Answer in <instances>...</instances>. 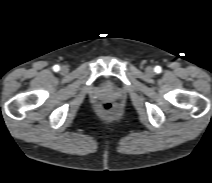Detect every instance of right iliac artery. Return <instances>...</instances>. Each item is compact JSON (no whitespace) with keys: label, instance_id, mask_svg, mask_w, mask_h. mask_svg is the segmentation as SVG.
<instances>
[{"label":"right iliac artery","instance_id":"obj_1","mask_svg":"<svg viewBox=\"0 0 212 183\" xmlns=\"http://www.w3.org/2000/svg\"><path fill=\"white\" fill-rule=\"evenodd\" d=\"M59 69H60V67H59L58 65L53 66V70H54L55 72L59 71Z\"/></svg>","mask_w":212,"mask_h":183}]
</instances>
